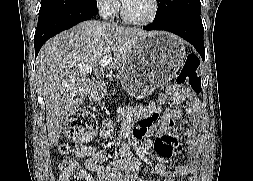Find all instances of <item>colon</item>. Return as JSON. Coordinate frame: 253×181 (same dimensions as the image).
<instances>
[{
	"label": "colon",
	"mask_w": 253,
	"mask_h": 181,
	"mask_svg": "<svg viewBox=\"0 0 253 181\" xmlns=\"http://www.w3.org/2000/svg\"><path fill=\"white\" fill-rule=\"evenodd\" d=\"M198 66L197 58L193 55L188 56L178 77V84L183 85L191 92L201 90V79L197 74ZM95 128L94 117L89 112L80 110L69 119L65 135L73 141H83L94 133ZM59 179L60 181H88L87 176L73 162L63 165Z\"/></svg>",
	"instance_id": "obj_1"
}]
</instances>
